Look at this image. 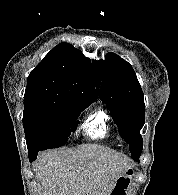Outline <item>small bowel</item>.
<instances>
[{
  "label": "small bowel",
  "mask_w": 178,
  "mask_h": 195,
  "mask_svg": "<svg viewBox=\"0 0 178 195\" xmlns=\"http://www.w3.org/2000/svg\"><path fill=\"white\" fill-rule=\"evenodd\" d=\"M123 190H124V189H122V190L119 192V193H120L119 195H122V193L124 192Z\"/></svg>",
  "instance_id": "obj_1"
}]
</instances>
